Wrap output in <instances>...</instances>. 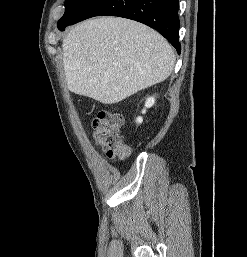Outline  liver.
I'll return each instance as SVG.
<instances>
[{
	"label": "liver",
	"instance_id": "6515ba94",
	"mask_svg": "<svg viewBox=\"0 0 247 257\" xmlns=\"http://www.w3.org/2000/svg\"><path fill=\"white\" fill-rule=\"evenodd\" d=\"M68 89L115 104L168 78L175 54L150 27L119 17L86 20L62 44Z\"/></svg>",
	"mask_w": 247,
	"mask_h": 257
}]
</instances>
